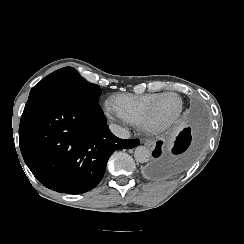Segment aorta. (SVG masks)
<instances>
[{"mask_svg": "<svg viewBox=\"0 0 244 244\" xmlns=\"http://www.w3.org/2000/svg\"><path fill=\"white\" fill-rule=\"evenodd\" d=\"M151 157L150 150L145 146H138L134 151V158L139 163H146Z\"/></svg>", "mask_w": 244, "mask_h": 244, "instance_id": "obj_1", "label": "aorta"}]
</instances>
